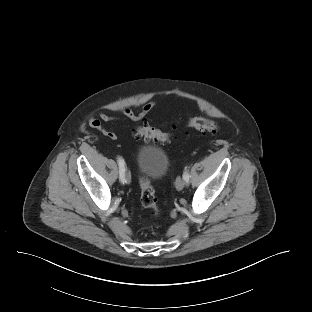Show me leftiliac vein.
I'll list each match as a JSON object with an SVG mask.
<instances>
[{"label":"left iliac vein","mask_w":312,"mask_h":312,"mask_svg":"<svg viewBox=\"0 0 312 312\" xmlns=\"http://www.w3.org/2000/svg\"><path fill=\"white\" fill-rule=\"evenodd\" d=\"M185 181L181 177H178L176 180V189L177 190H182L185 186Z\"/></svg>","instance_id":"obj_1"}]
</instances>
